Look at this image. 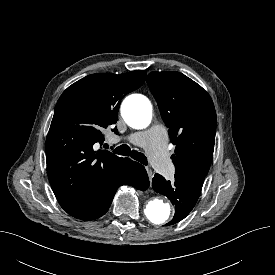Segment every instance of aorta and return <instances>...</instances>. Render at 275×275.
<instances>
[{
    "label": "aorta",
    "mask_w": 275,
    "mask_h": 275,
    "mask_svg": "<svg viewBox=\"0 0 275 275\" xmlns=\"http://www.w3.org/2000/svg\"><path fill=\"white\" fill-rule=\"evenodd\" d=\"M121 114L129 126L142 129L147 127L151 122L153 106L145 96L134 94L123 101ZM144 213L152 224L163 225L170 220L172 207L168 202L154 199L146 205Z\"/></svg>",
    "instance_id": "762f6f07"
}]
</instances>
